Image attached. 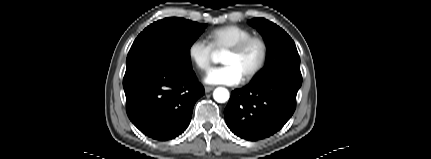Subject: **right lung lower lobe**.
Instances as JSON below:
<instances>
[{
  "instance_id": "1",
  "label": "right lung lower lobe",
  "mask_w": 431,
  "mask_h": 159,
  "mask_svg": "<svg viewBox=\"0 0 431 159\" xmlns=\"http://www.w3.org/2000/svg\"><path fill=\"white\" fill-rule=\"evenodd\" d=\"M126 111L146 136L166 141L188 127L194 104L204 95L192 69L162 59H148L126 68L123 79Z\"/></svg>"
}]
</instances>
